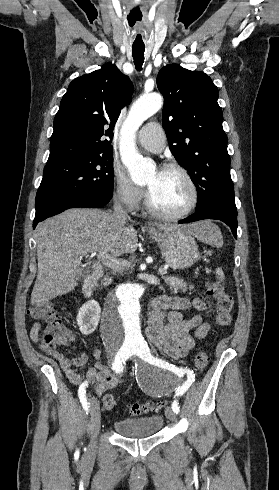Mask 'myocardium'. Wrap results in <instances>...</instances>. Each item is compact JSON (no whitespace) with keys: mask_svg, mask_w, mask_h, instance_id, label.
<instances>
[{"mask_svg":"<svg viewBox=\"0 0 279 490\" xmlns=\"http://www.w3.org/2000/svg\"><path fill=\"white\" fill-rule=\"evenodd\" d=\"M162 170L177 172L185 179L191 193L190 200L180 211L174 213H168L160 210L155 206L150 196V190H148L147 208L153 216L162 220L174 221V220L181 219L186 215H188L197 206V203L199 201V192H198L197 185L194 179L192 178V176L190 175V173L188 172V170L183 166H181L180 164L168 163L163 166Z\"/></svg>","mask_w":279,"mask_h":490,"instance_id":"f54148a6","label":"myocardium"}]
</instances>
